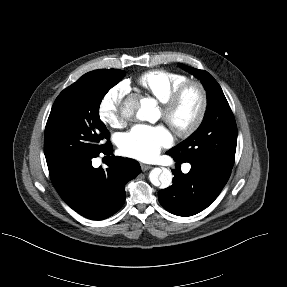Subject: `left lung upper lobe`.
Here are the masks:
<instances>
[{
  "label": "left lung upper lobe",
  "mask_w": 287,
  "mask_h": 287,
  "mask_svg": "<svg viewBox=\"0 0 287 287\" xmlns=\"http://www.w3.org/2000/svg\"><path fill=\"white\" fill-rule=\"evenodd\" d=\"M199 78L207 91V110L200 127L167 154L180 161L202 159L232 170L237 144V127L217 81L208 72L180 64Z\"/></svg>",
  "instance_id": "1"
}]
</instances>
